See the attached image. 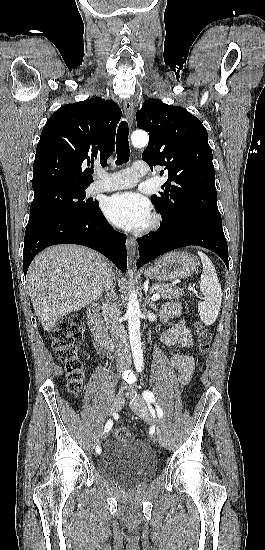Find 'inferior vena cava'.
Wrapping results in <instances>:
<instances>
[{
  "mask_svg": "<svg viewBox=\"0 0 265 550\" xmlns=\"http://www.w3.org/2000/svg\"><path fill=\"white\" fill-rule=\"evenodd\" d=\"M106 302L103 306L105 313L104 320L113 339L116 356V366L119 373H123L131 366V354L129 350L127 332L121 323L120 311L115 302L116 295L113 290V278H110L105 285Z\"/></svg>",
  "mask_w": 265,
  "mask_h": 550,
  "instance_id": "1",
  "label": "inferior vena cava"
}]
</instances>
